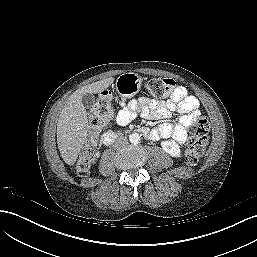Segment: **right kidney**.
<instances>
[{
	"mask_svg": "<svg viewBox=\"0 0 257 257\" xmlns=\"http://www.w3.org/2000/svg\"><path fill=\"white\" fill-rule=\"evenodd\" d=\"M99 156H100V154L97 153V154L95 155V158L92 159V163H95V162H96V158H98Z\"/></svg>",
	"mask_w": 257,
	"mask_h": 257,
	"instance_id": "obj_1",
	"label": "right kidney"
}]
</instances>
